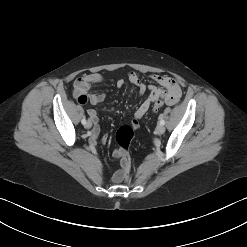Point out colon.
I'll return each mask as SVG.
<instances>
[{
	"label": "colon",
	"mask_w": 247,
	"mask_h": 247,
	"mask_svg": "<svg viewBox=\"0 0 247 247\" xmlns=\"http://www.w3.org/2000/svg\"><path fill=\"white\" fill-rule=\"evenodd\" d=\"M165 104L166 102L162 99L156 100L153 106L154 112L160 111ZM137 127H138V122L134 120L130 125L122 126L121 128H119L116 133V143L118 145V148L116 149L115 152L118 154V157L120 158L121 178L126 182L129 181L130 179V167H131L128 148L134 138L135 129Z\"/></svg>",
	"instance_id": "1"
}]
</instances>
